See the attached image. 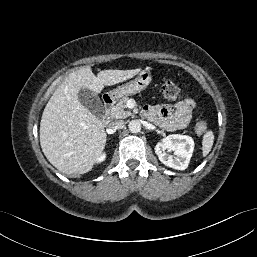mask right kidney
Returning <instances> with one entry per match:
<instances>
[{
	"label": "right kidney",
	"mask_w": 257,
	"mask_h": 257,
	"mask_svg": "<svg viewBox=\"0 0 257 257\" xmlns=\"http://www.w3.org/2000/svg\"><path fill=\"white\" fill-rule=\"evenodd\" d=\"M105 159H106V154L103 153V154H101V155L96 159V161H97V163H100V162H103Z\"/></svg>",
	"instance_id": "1"
}]
</instances>
